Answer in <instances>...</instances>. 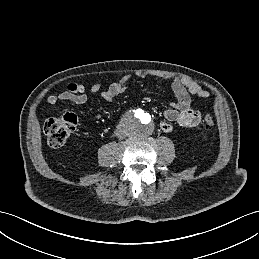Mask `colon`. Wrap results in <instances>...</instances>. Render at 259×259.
<instances>
[{"label":"colon","mask_w":259,"mask_h":259,"mask_svg":"<svg viewBox=\"0 0 259 259\" xmlns=\"http://www.w3.org/2000/svg\"><path fill=\"white\" fill-rule=\"evenodd\" d=\"M204 125L210 129L215 125L214 117L207 114L204 117ZM77 127V118L73 114L50 118L45 122L44 133L51 147H61L74 133Z\"/></svg>","instance_id":"1"}]
</instances>
